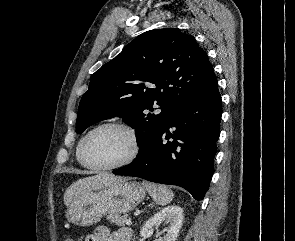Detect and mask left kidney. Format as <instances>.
<instances>
[{"instance_id":"1","label":"left kidney","mask_w":295,"mask_h":241,"mask_svg":"<svg viewBox=\"0 0 295 241\" xmlns=\"http://www.w3.org/2000/svg\"><path fill=\"white\" fill-rule=\"evenodd\" d=\"M183 209L180 206L171 205L163 208L154 216H152L142 227L140 235L143 238H149L153 232L154 227H158L161 223L167 225L165 228L166 234L155 241H176L178 233L182 227ZM161 233L157 231V237Z\"/></svg>"}]
</instances>
